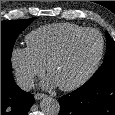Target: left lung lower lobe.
Instances as JSON below:
<instances>
[{"instance_id": "0a47b994", "label": "left lung lower lobe", "mask_w": 115, "mask_h": 115, "mask_svg": "<svg viewBox=\"0 0 115 115\" xmlns=\"http://www.w3.org/2000/svg\"><path fill=\"white\" fill-rule=\"evenodd\" d=\"M59 103L58 115H115V77L85 83Z\"/></svg>"}]
</instances>
